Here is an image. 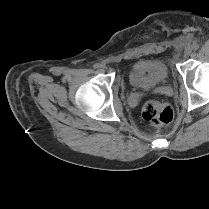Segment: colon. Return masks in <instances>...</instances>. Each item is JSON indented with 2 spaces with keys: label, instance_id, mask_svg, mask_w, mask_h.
Wrapping results in <instances>:
<instances>
[{
  "label": "colon",
  "instance_id": "colon-1",
  "mask_svg": "<svg viewBox=\"0 0 209 209\" xmlns=\"http://www.w3.org/2000/svg\"><path fill=\"white\" fill-rule=\"evenodd\" d=\"M142 117L154 126H165L173 120L174 111L165 103L149 101L143 106Z\"/></svg>",
  "mask_w": 209,
  "mask_h": 209
}]
</instances>
